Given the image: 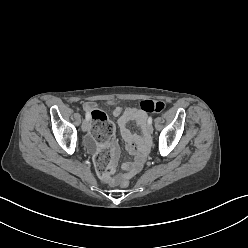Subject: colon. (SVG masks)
I'll use <instances>...</instances> for the list:
<instances>
[{
	"mask_svg": "<svg viewBox=\"0 0 248 248\" xmlns=\"http://www.w3.org/2000/svg\"><path fill=\"white\" fill-rule=\"evenodd\" d=\"M140 110L145 113H161L166 109V104L159 100H143L140 102ZM93 122V135L97 145L102 146L94 153V166L104 179H109L115 171L116 165L113 164L112 152L110 147L104 146L110 143L111 137L115 133V125L110 121L107 115L99 110L94 109L90 113ZM119 185L122 188L129 186L127 177L119 178Z\"/></svg>",
	"mask_w": 248,
	"mask_h": 248,
	"instance_id": "5ec220e1",
	"label": "colon"
}]
</instances>
